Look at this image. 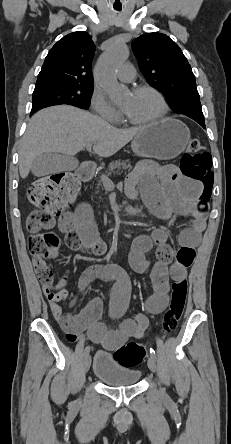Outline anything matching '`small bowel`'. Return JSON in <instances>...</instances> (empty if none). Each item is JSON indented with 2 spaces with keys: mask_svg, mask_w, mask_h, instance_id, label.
Segmentation results:
<instances>
[{
  "mask_svg": "<svg viewBox=\"0 0 231 444\" xmlns=\"http://www.w3.org/2000/svg\"><path fill=\"white\" fill-rule=\"evenodd\" d=\"M200 183L183 176L175 166H159L151 162L138 165L128 176L126 193L130 198H136L140 193L151 212L161 219H172L174 216H190L193 218L191 227L182 231L179 237L180 248L173 261L174 252L167 243V233L164 229H155L150 234H141L133 241L129 254L131 267L139 272H145L150 261L146 254L156 249V263L151 269L153 293L144 302L145 309L151 314L162 313L169 303V280L186 277L188 267L195 258V249L200 235L205 228L206 204L200 202ZM58 228L66 235V243L73 250H84L96 256L106 252L105 244L98 238L92 218V212L87 204H80L76 211L63 214L58 220ZM37 274L47 268L45 261L34 260ZM109 271L115 273L117 282L111 294L112 312L126 309L130 297L128 278L114 268L91 266L87 268L80 280L79 289L83 291L96 278H103ZM50 310L69 340L85 332L88 338L100 344L106 350H117L130 338H141L148 326V319L142 314L122 320L115 329H108L100 321L103 303L100 298L92 299L78 314L63 312L60 301L69 306L74 299L69 298L66 290L53 293L44 289Z\"/></svg>",
  "mask_w": 231,
  "mask_h": 444,
  "instance_id": "1",
  "label": "small bowel"
}]
</instances>
